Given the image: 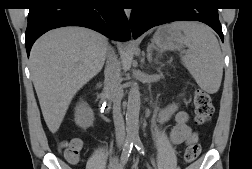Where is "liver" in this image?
<instances>
[{
    "mask_svg": "<svg viewBox=\"0 0 252 169\" xmlns=\"http://www.w3.org/2000/svg\"><path fill=\"white\" fill-rule=\"evenodd\" d=\"M108 39L84 27H63L41 36L29 68L50 132L59 129L75 94L102 69Z\"/></svg>",
    "mask_w": 252,
    "mask_h": 169,
    "instance_id": "obj_1",
    "label": "liver"
}]
</instances>
